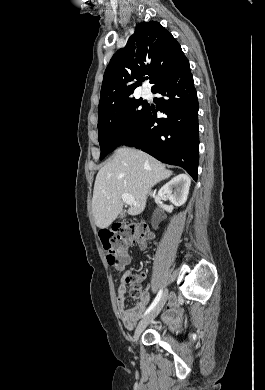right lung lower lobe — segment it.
Segmentation results:
<instances>
[{"label": "right lung lower lobe", "mask_w": 265, "mask_h": 390, "mask_svg": "<svg viewBox=\"0 0 265 390\" xmlns=\"http://www.w3.org/2000/svg\"><path fill=\"white\" fill-rule=\"evenodd\" d=\"M152 92L163 96L156 103L157 110L166 117L156 119L155 109L149 107L145 118L121 145L136 147L163 163L178 165L197 180L198 100L189 61Z\"/></svg>", "instance_id": "98d812e1"}]
</instances>
